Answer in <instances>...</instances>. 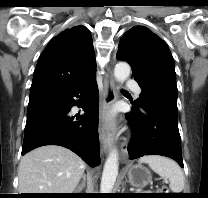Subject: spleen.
Wrapping results in <instances>:
<instances>
[{
	"mask_svg": "<svg viewBox=\"0 0 208 198\" xmlns=\"http://www.w3.org/2000/svg\"><path fill=\"white\" fill-rule=\"evenodd\" d=\"M146 163L158 175L169 179V187L173 193H181L184 188V174L176 162L166 157L150 155L139 159Z\"/></svg>",
	"mask_w": 208,
	"mask_h": 198,
	"instance_id": "obj_1",
	"label": "spleen"
}]
</instances>
